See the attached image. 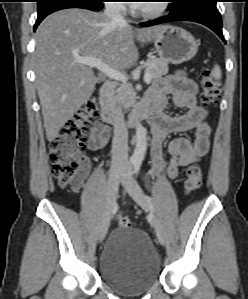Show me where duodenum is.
<instances>
[{"label":"duodenum","instance_id":"410a0bca","mask_svg":"<svg viewBox=\"0 0 248 299\" xmlns=\"http://www.w3.org/2000/svg\"><path fill=\"white\" fill-rule=\"evenodd\" d=\"M114 85L112 82H105L100 88L98 95V104L100 107V116L104 123L116 124L117 111L113 106L112 95ZM150 115V106L147 102L136 104L131 113L129 124L137 125L141 120L148 118Z\"/></svg>","mask_w":248,"mask_h":299}]
</instances>
